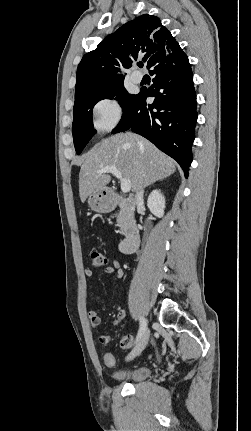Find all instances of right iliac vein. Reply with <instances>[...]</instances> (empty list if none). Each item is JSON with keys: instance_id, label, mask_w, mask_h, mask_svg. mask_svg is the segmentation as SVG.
I'll return each instance as SVG.
<instances>
[{"instance_id": "right-iliac-vein-1", "label": "right iliac vein", "mask_w": 251, "mask_h": 431, "mask_svg": "<svg viewBox=\"0 0 251 431\" xmlns=\"http://www.w3.org/2000/svg\"><path fill=\"white\" fill-rule=\"evenodd\" d=\"M149 330L146 329L142 336L140 337V340L136 344V346L133 348V350L130 352V354L127 356V360H132L135 357H137L146 347L149 341Z\"/></svg>"}]
</instances>
